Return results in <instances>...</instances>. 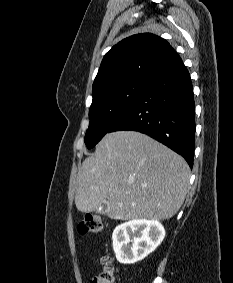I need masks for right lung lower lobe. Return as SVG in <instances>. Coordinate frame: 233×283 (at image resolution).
Returning <instances> with one entry per match:
<instances>
[{"mask_svg":"<svg viewBox=\"0 0 233 283\" xmlns=\"http://www.w3.org/2000/svg\"><path fill=\"white\" fill-rule=\"evenodd\" d=\"M138 131L168 146L193 166L195 103L188 70L181 62L154 78L109 132Z\"/></svg>","mask_w":233,"mask_h":283,"instance_id":"98d812e1","label":"right lung lower lobe"}]
</instances>
